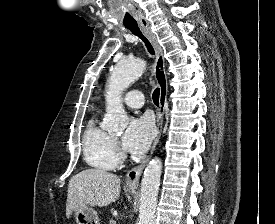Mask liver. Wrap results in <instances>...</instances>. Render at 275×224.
Here are the masks:
<instances>
[{"mask_svg": "<svg viewBox=\"0 0 275 224\" xmlns=\"http://www.w3.org/2000/svg\"><path fill=\"white\" fill-rule=\"evenodd\" d=\"M120 178L103 169H86L73 176L68 185L66 216L77 208L105 207L120 195Z\"/></svg>", "mask_w": 275, "mask_h": 224, "instance_id": "liver-1", "label": "liver"}]
</instances>
